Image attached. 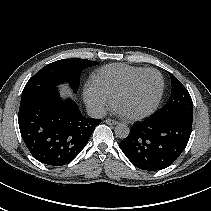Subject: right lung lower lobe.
<instances>
[{
  "instance_id": "obj_1",
  "label": "right lung lower lobe",
  "mask_w": 211,
  "mask_h": 211,
  "mask_svg": "<svg viewBox=\"0 0 211 211\" xmlns=\"http://www.w3.org/2000/svg\"><path fill=\"white\" fill-rule=\"evenodd\" d=\"M18 123L35 159L62 166L80 153L101 120L84 117L74 101L51 93L21 103Z\"/></svg>"
}]
</instances>
